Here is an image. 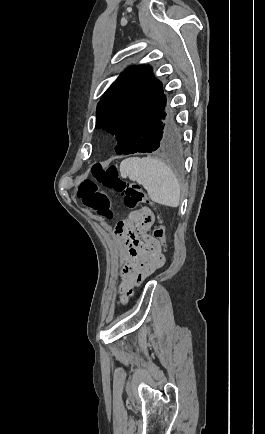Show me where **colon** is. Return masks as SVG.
I'll return each instance as SVG.
<instances>
[{
  "instance_id": "1",
  "label": "colon",
  "mask_w": 265,
  "mask_h": 434,
  "mask_svg": "<svg viewBox=\"0 0 265 434\" xmlns=\"http://www.w3.org/2000/svg\"><path fill=\"white\" fill-rule=\"evenodd\" d=\"M90 170V177H96L98 183H93L90 177H85L81 191L79 192L82 204L88 209L106 218H110L108 199L99 186L114 190L122 197L124 206L130 210H135L142 204L149 205L147 195L142 187L137 183L122 179L116 166L111 165L105 168L101 167L100 169L96 167L90 168ZM153 237L161 241L160 247L163 249L165 246V232L160 220H157V227L153 230Z\"/></svg>"
}]
</instances>
